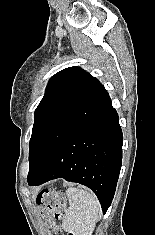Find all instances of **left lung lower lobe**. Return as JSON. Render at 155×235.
<instances>
[{"mask_svg":"<svg viewBox=\"0 0 155 235\" xmlns=\"http://www.w3.org/2000/svg\"><path fill=\"white\" fill-rule=\"evenodd\" d=\"M123 135L109 94L57 145L28 184L64 178L83 184L97 195L103 213L114 197L121 165Z\"/></svg>","mask_w":155,"mask_h":235,"instance_id":"1","label":"left lung lower lobe"}]
</instances>
